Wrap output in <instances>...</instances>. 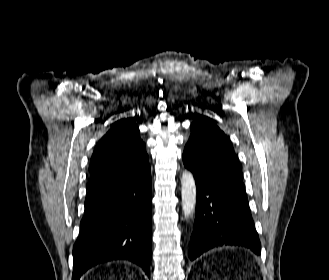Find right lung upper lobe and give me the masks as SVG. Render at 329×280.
<instances>
[{"mask_svg": "<svg viewBox=\"0 0 329 280\" xmlns=\"http://www.w3.org/2000/svg\"><path fill=\"white\" fill-rule=\"evenodd\" d=\"M145 143L133 119H121L97 143L90 165V179L116 172L149 167Z\"/></svg>", "mask_w": 329, "mask_h": 280, "instance_id": "obj_1", "label": "right lung upper lobe"}]
</instances>
